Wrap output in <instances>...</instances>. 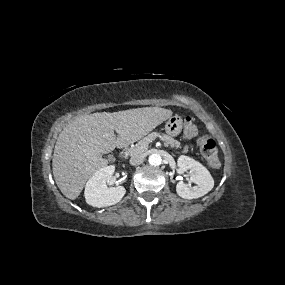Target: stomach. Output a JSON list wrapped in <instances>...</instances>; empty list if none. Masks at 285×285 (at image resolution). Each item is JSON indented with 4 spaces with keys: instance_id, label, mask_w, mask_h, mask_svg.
<instances>
[{
    "instance_id": "obj_1",
    "label": "stomach",
    "mask_w": 285,
    "mask_h": 285,
    "mask_svg": "<svg viewBox=\"0 0 285 285\" xmlns=\"http://www.w3.org/2000/svg\"><path fill=\"white\" fill-rule=\"evenodd\" d=\"M183 122L180 116L175 115L168 118L165 124V131L168 135L175 137L180 134Z\"/></svg>"
}]
</instances>
